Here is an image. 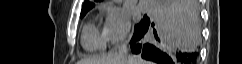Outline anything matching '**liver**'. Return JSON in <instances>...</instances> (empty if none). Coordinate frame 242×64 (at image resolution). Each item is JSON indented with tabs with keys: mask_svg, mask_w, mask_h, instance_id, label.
<instances>
[{
	"mask_svg": "<svg viewBox=\"0 0 242 64\" xmlns=\"http://www.w3.org/2000/svg\"><path fill=\"white\" fill-rule=\"evenodd\" d=\"M179 26L184 30L185 34L193 36V39L199 42L200 29L197 27V22L192 18L190 13L185 10L179 13ZM78 64H151L149 61L143 60L140 57L129 56L122 59L118 54H109L96 59H82Z\"/></svg>",
	"mask_w": 242,
	"mask_h": 64,
	"instance_id": "obj_1",
	"label": "liver"
}]
</instances>
